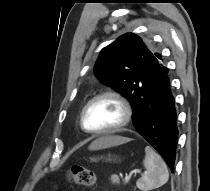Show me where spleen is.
<instances>
[{
  "label": "spleen",
  "instance_id": "spleen-1",
  "mask_svg": "<svg viewBox=\"0 0 210 191\" xmlns=\"http://www.w3.org/2000/svg\"><path fill=\"white\" fill-rule=\"evenodd\" d=\"M143 165L146 172L136 182L139 190H153L168 181L169 172L164 160L150 146L145 147Z\"/></svg>",
  "mask_w": 210,
  "mask_h": 191
}]
</instances>
